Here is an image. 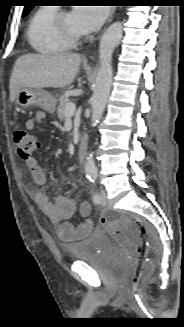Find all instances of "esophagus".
Masks as SVG:
<instances>
[{"instance_id":"34e87169","label":"esophagus","mask_w":184,"mask_h":327,"mask_svg":"<svg viewBox=\"0 0 184 327\" xmlns=\"http://www.w3.org/2000/svg\"><path fill=\"white\" fill-rule=\"evenodd\" d=\"M114 13H115V8L113 7V8L111 9V13H110V16H109L108 22H110V21L112 20V18H113V16H114Z\"/></svg>"}]
</instances>
